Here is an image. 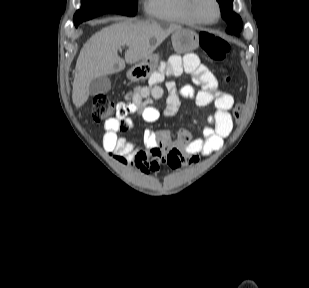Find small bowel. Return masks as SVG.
Returning <instances> with one entry per match:
<instances>
[{
    "label": "small bowel",
    "instance_id": "c3829d8e",
    "mask_svg": "<svg viewBox=\"0 0 309 288\" xmlns=\"http://www.w3.org/2000/svg\"><path fill=\"white\" fill-rule=\"evenodd\" d=\"M165 70L169 75L187 72L199 89L191 85L177 88L173 82L166 83L167 98L162 112L152 105L163 97L160 86L161 76H154L149 85L134 89L127 102L119 103L125 115L108 119L104 123L103 146L109 153L116 154L123 164L137 167L142 174L158 173L162 165L173 171H179L186 164H196L200 157L208 156L223 146V141L233 130L231 110L234 106L232 95L220 90L211 70L203 65L194 53L184 56L172 55L166 63ZM180 97L194 100L199 107L213 104L214 113L201 129L202 137L193 138L190 131L180 129L176 139L166 131L147 129L143 134L144 148L119 137V132L129 130L133 123L128 114H139L146 123L156 122L161 115L175 116L180 107Z\"/></svg>",
    "mask_w": 309,
    "mask_h": 288
}]
</instances>
